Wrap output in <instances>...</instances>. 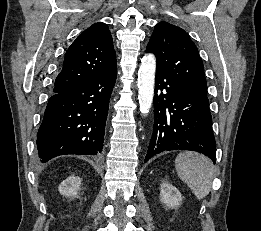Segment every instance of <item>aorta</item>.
Here are the masks:
<instances>
[{
  "instance_id": "1",
  "label": "aorta",
  "mask_w": 261,
  "mask_h": 231,
  "mask_svg": "<svg viewBox=\"0 0 261 231\" xmlns=\"http://www.w3.org/2000/svg\"><path fill=\"white\" fill-rule=\"evenodd\" d=\"M156 58L153 54L144 56L138 71V100L140 112L146 116L153 102Z\"/></svg>"
}]
</instances>
